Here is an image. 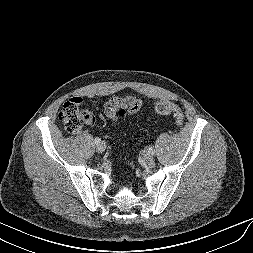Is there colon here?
Listing matches in <instances>:
<instances>
[{
    "label": "colon",
    "mask_w": 253,
    "mask_h": 253,
    "mask_svg": "<svg viewBox=\"0 0 253 253\" xmlns=\"http://www.w3.org/2000/svg\"><path fill=\"white\" fill-rule=\"evenodd\" d=\"M154 109L159 115L172 114L177 124H181L184 120L182 109L169 100L157 101ZM126 114L127 111L125 109H120L114 122H118L119 118L125 117ZM59 118L69 133H76L83 125L94 122L93 114L82 106V100L77 97L71 98L63 104Z\"/></svg>",
    "instance_id": "1"
}]
</instances>
